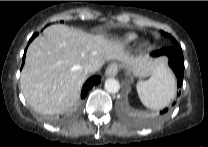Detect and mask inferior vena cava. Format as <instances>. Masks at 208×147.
I'll return each mask as SVG.
<instances>
[{"label":"inferior vena cava","instance_id":"602c4592","mask_svg":"<svg viewBox=\"0 0 208 147\" xmlns=\"http://www.w3.org/2000/svg\"><path fill=\"white\" fill-rule=\"evenodd\" d=\"M84 70H85V73H92V72H94V70H95V68L92 66V65H86L85 67H84Z\"/></svg>","mask_w":208,"mask_h":147}]
</instances>
